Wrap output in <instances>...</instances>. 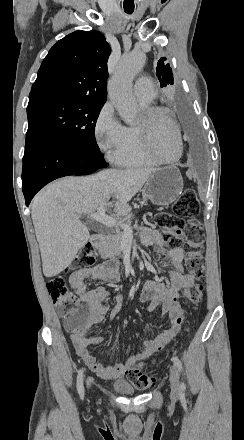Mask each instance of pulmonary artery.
<instances>
[{
    "mask_svg": "<svg viewBox=\"0 0 244 440\" xmlns=\"http://www.w3.org/2000/svg\"><path fill=\"white\" fill-rule=\"evenodd\" d=\"M153 89V82H146L145 76H139L138 82L135 83V96L140 103L149 104L157 98V91Z\"/></svg>",
    "mask_w": 244,
    "mask_h": 440,
    "instance_id": "e3ab8cb5",
    "label": "pulmonary artery"
}]
</instances>
